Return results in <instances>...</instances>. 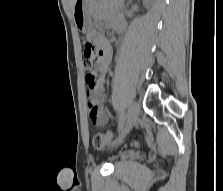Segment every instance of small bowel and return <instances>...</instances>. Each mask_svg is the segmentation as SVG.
Returning a JSON list of instances; mask_svg holds the SVG:
<instances>
[{"label": "small bowel", "instance_id": "1", "mask_svg": "<svg viewBox=\"0 0 223 191\" xmlns=\"http://www.w3.org/2000/svg\"><path fill=\"white\" fill-rule=\"evenodd\" d=\"M125 23L122 20L115 22V31L121 33L124 30ZM90 37L97 43L99 47L97 71L100 77L97 79V85L95 88L89 87L87 92V107L89 117L93 124L97 126L105 125L109 116L104 109V96L103 91L105 88V74L107 73L110 62L112 59V48L106 39V37L100 32H92Z\"/></svg>", "mask_w": 223, "mask_h": 191}]
</instances>
